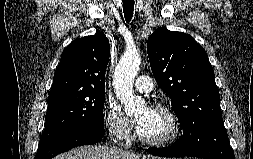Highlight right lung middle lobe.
<instances>
[{"label": "right lung middle lobe", "mask_w": 253, "mask_h": 159, "mask_svg": "<svg viewBox=\"0 0 253 159\" xmlns=\"http://www.w3.org/2000/svg\"><path fill=\"white\" fill-rule=\"evenodd\" d=\"M104 100V90L48 98L46 126L39 146L74 129L103 128Z\"/></svg>", "instance_id": "1"}]
</instances>
